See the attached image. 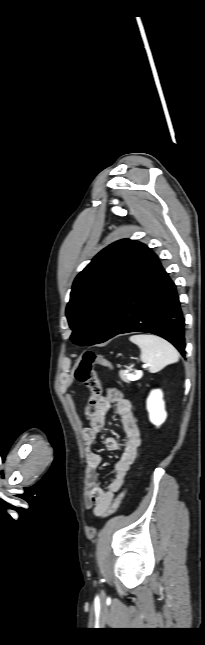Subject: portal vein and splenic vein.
<instances>
[{"label": "portal vein and splenic vein", "instance_id": "1", "mask_svg": "<svg viewBox=\"0 0 205 645\" xmlns=\"http://www.w3.org/2000/svg\"><path fill=\"white\" fill-rule=\"evenodd\" d=\"M147 366H148V365H144V366H143V368H147ZM140 374H141V371H138V372H137V374H136V376H134V375H132V374H128V376H129L132 380H135V379H136Z\"/></svg>", "mask_w": 205, "mask_h": 645}]
</instances>
